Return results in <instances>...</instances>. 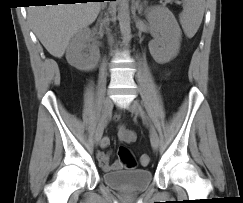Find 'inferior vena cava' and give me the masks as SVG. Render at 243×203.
Returning <instances> with one entry per match:
<instances>
[{
    "label": "inferior vena cava",
    "instance_id": "inferior-vena-cava-1",
    "mask_svg": "<svg viewBox=\"0 0 243 203\" xmlns=\"http://www.w3.org/2000/svg\"><path fill=\"white\" fill-rule=\"evenodd\" d=\"M107 22H108V19H105V20H104V23H107Z\"/></svg>",
    "mask_w": 243,
    "mask_h": 203
}]
</instances>
